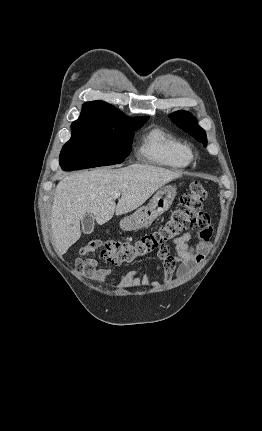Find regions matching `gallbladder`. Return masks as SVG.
Listing matches in <instances>:
<instances>
[{
    "instance_id": "bac80fb5",
    "label": "gallbladder",
    "mask_w": 262,
    "mask_h": 431,
    "mask_svg": "<svg viewBox=\"0 0 262 431\" xmlns=\"http://www.w3.org/2000/svg\"><path fill=\"white\" fill-rule=\"evenodd\" d=\"M82 231L85 235H89L94 230L95 218L92 214H85L81 219Z\"/></svg>"
}]
</instances>
